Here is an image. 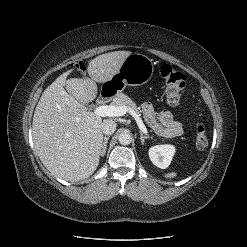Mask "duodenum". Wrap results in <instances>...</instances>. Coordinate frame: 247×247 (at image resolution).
I'll return each instance as SVG.
<instances>
[{
  "instance_id": "410a0bca",
  "label": "duodenum",
  "mask_w": 247,
  "mask_h": 247,
  "mask_svg": "<svg viewBox=\"0 0 247 247\" xmlns=\"http://www.w3.org/2000/svg\"><path fill=\"white\" fill-rule=\"evenodd\" d=\"M110 96H111V92L110 91L102 92L101 95L98 97V103L99 104L105 103L109 99Z\"/></svg>"
}]
</instances>
